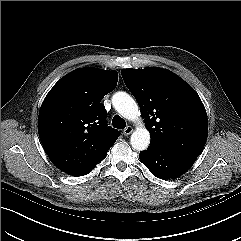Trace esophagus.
Segmentation results:
<instances>
[{
  "instance_id": "34e87169",
  "label": "esophagus",
  "mask_w": 241,
  "mask_h": 241,
  "mask_svg": "<svg viewBox=\"0 0 241 241\" xmlns=\"http://www.w3.org/2000/svg\"><path fill=\"white\" fill-rule=\"evenodd\" d=\"M133 132V128L131 126H127L124 130H123V134L125 136L130 135Z\"/></svg>"
}]
</instances>
